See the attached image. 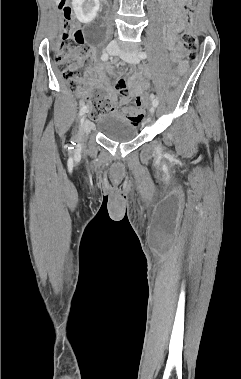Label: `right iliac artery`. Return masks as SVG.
<instances>
[{"label":"right iliac artery","mask_w":241,"mask_h":379,"mask_svg":"<svg viewBox=\"0 0 241 379\" xmlns=\"http://www.w3.org/2000/svg\"><path fill=\"white\" fill-rule=\"evenodd\" d=\"M108 58H109V55H108L106 52H104V53L102 54V56H101V60H102V61H107ZM86 109H87V107H86V106H83V107L81 108L80 112H79V115H80V116L83 115V114L86 112ZM71 143H72L73 146L75 145V143H74L73 141H72Z\"/></svg>","instance_id":"1"}]
</instances>
